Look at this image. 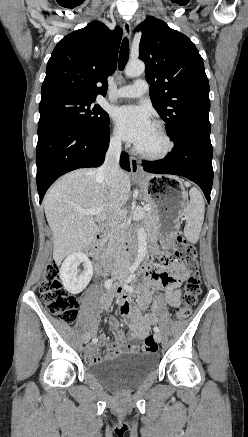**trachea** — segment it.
<instances>
[{"label": "trachea", "instance_id": "obj_1", "mask_svg": "<svg viewBox=\"0 0 248 437\" xmlns=\"http://www.w3.org/2000/svg\"><path fill=\"white\" fill-rule=\"evenodd\" d=\"M128 59H129V41L127 38H124L119 52L118 68L120 71L124 69Z\"/></svg>", "mask_w": 248, "mask_h": 437}]
</instances>
